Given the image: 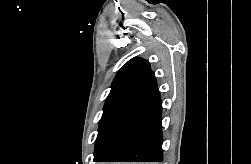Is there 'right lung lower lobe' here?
Instances as JSON below:
<instances>
[{"instance_id":"1","label":"right lung lower lobe","mask_w":251,"mask_h":164,"mask_svg":"<svg viewBox=\"0 0 251 164\" xmlns=\"http://www.w3.org/2000/svg\"><path fill=\"white\" fill-rule=\"evenodd\" d=\"M162 102L157 86L143 91L112 125L94 162H162Z\"/></svg>"}]
</instances>
